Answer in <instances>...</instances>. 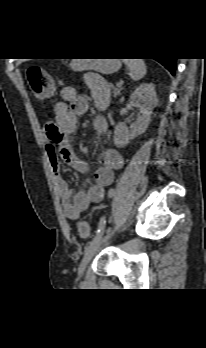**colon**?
Listing matches in <instances>:
<instances>
[{"label": "colon", "mask_w": 206, "mask_h": 348, "mask_svg": "<svg viewBox=\"0 0 206 348\" xmlns=\"http://www.w3.org/2000/svg\"><path fill=\"white\" fill-rule=\"evenodd\" d=\"M26 79L29 84L30 91L36 99L45 100L53 94L55 89L54 81L43 68L39 66L29 67L26 71ZM77 232L81 238L88 239L91 235L89 223L86 221L79 222L77 224Z\"/></svg>", "instance_id": "5ec220e1"}]
</instances>
